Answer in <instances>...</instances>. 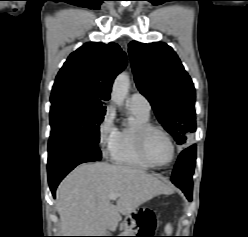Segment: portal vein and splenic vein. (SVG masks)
Returning <instances> with one entry per match:
<instances>
[{
	"label": "portal vein and splenic vein",
	"instance_id": "portal-vein-and-splenic-vein-1",
	"mask_svg": "<svg viewBox=\"0 0 248 237\" xmlns=\"http://www.w3.org/2000/svg\"><path fill=\"white\" fill-rule=\"evenodd\" d=\"M118 194H110L109 196H108V199L109 200H116L117 198H118Z\"/></svg>",
	"mask_w": 248,
	"mask_h": 237
}]
</instances>
